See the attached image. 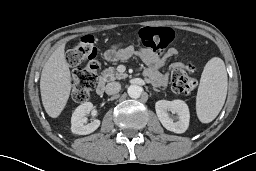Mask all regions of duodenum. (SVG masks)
<instances>
[{
  "mask_svg": "<svg viewBox=\"0 0 256 171\" xmlns=\"http://www.w3.org/2000/svg\"><path fill=\"white\" fill-rule=\"evenodd\" d=\"M105 87H106V85H105V80H104V79H101V80L98 82L97 86H96V93H97L98 95H103L104 92H105Z\"/></svg>",
  "mask_w": 256,
  "mask_h": 171,
  "instance_id": "1",
  "label": "duodenum"
}]
</instances>
